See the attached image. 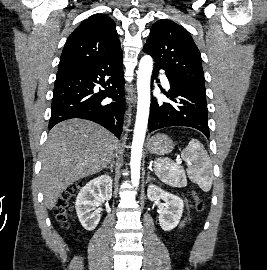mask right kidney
Here are the masks:
<instances>
[{
  "label": "right kidney",
  "instance_id": "ca27d5eb",
  "mask_svg": "<svg viewBox=\"0 0 267 270\" xmlns=\"http://www.w3.org/2000/svg\"><path fill=\"white\" fill-rule=\"evenodd\" d=\"M112 197V179L101 175L89 181L78 193L75 202L76 213L82 227L88 231L96 228L100 221V210L97 208L102 201Z\"/></svg>",
  "mask_w": 267,
  "mask_h": 270
}]
</instances>
